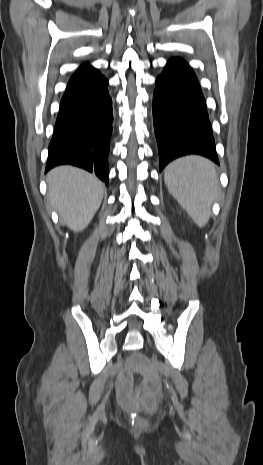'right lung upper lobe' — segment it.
Instances as JSON below:
<instances>
[{
	"label": "right lung upper lobe",
	"mask_w": 263,
	"mask_h": 465,
	"mask_svg": "<svg viewBox=\"0 0 263 465\" xmlns=\"http://www.w3.org/2000/svg\"><path fill=\"white\" fill-rule=\"evenodd\" d=\"M85 67H88V65H87V64H84L83 67H81V68H85Z\"/></svg>",
	"instance_id": "right-lung-upper-lobe-1"
}]
</instances>
